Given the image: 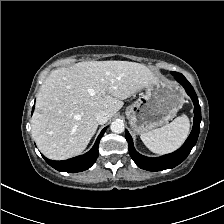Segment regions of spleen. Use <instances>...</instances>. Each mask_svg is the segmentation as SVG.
I'll use <instances>...</instances> for the list:
<instances>
[{"instance_id":"3e777b00","label":"spleen","mask_w":224,"mask_h":224,"mask_svg":"<svg viewBox=\"0 0 224 224\" xmlns=\"http://www.w3.org/2000/svg\"><path fill=\"white\" fill-rule=\"evenodd\" d=\"M190 132V122L186 115L175 118L170 124L141 134L146 147L156 154H167L178 149Z\"/></svg>"}]
</instances>
